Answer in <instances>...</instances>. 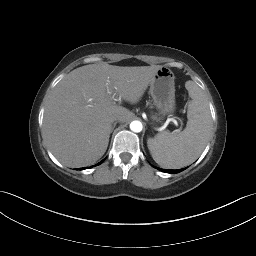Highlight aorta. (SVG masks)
<instances>
[{
    "mask_svg": "<svg viewBox=\"0 0 256 256\" xmlns=\"http://www.w3.org/2000/svg\"><path fill=\"white\" fill-rule=\"evenodd\" d=\"M130 129H131L133 132H136V133L141 132L142 129H143L142 123H141L140 121H137V120L132 121V122L130 123Z\"/></svg>",
    "mask_w": 256,
    "mask_h": 256,
    "instance_id": "762f6f07",
    "label": "aorta"
}]
</instances>
